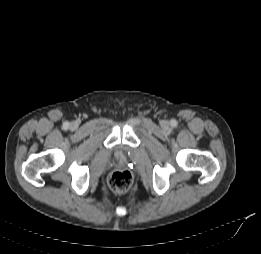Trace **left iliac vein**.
<instances>
[{"instance_id": "left-iliac-vein-1", "label": "left iliac vein", "mask_w": 261, "mask_h": 254, "mask_svg": "<svg viewBox=\"0 0 261 254\" xmlns=\"http://www.w3.org/2000/svg\"><path fill=\"white\" fill-rule=\"evenodd\" d=\"M169 122L168 121H166V120H163L162 122H161V126H162V128H164V129H168L169 128Z\"/></svg>"}]
</instances>
